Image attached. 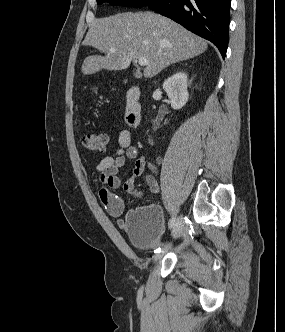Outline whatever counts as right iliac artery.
Segmentation results:
<instances>
[{
    "mask_svg": "<svg viewBox=\"0 0 285 332\" xmlns=\"http://www.w3.org/2000/svg\"><path fill=\"white\" fill-rule=\"evenodd\" d=\"M174 224H175V218L172 217L169 221V224H168L169 228H172L174 226Z\"/></svg>",
    "mask_w": 285,
    "mask_h": 332,
    "instance_id": "82829eb1",
    "label": "right iliac artery"
}]
</instances>
